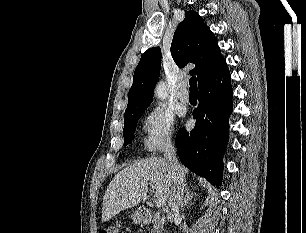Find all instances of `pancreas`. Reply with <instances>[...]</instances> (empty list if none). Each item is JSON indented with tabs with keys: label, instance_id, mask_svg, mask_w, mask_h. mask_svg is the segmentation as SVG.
I'll return each mask as SVG.
<instances>
[{
	"label": "pancreas",
	"instance_id": "cf45deb5",
	"mask_svg": "<svg viewBox=\"0 0 306 233\" xmlns=\"http://www.w3.org/2000/svg\"><path fill=\"white\" fill-rule=\"evenodd\" d=\"M164 224V219L160 217L159 214H155L154 216V224L151 233H158V230H162Z\"/></svg>",
	"mask_w": 306,
	"mask_h": 233
}]
</instances>
